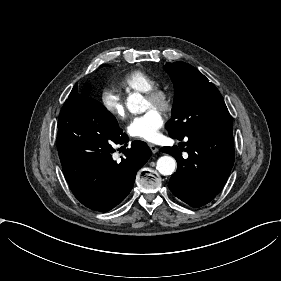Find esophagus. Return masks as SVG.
Here are the masks:
<instances>
[{
  "label": "esophagus",
  "instance_id": "obj_1",
  "mask_svg": "<svg viewBox=\"0 0 281 281\" xmlns=\"http://www.w3.org/2000/svg\"><path fill=\"white\" fill-rule=\"evenodd\" d=\"M149 148L151 149V151L153 153H157L159 151V149L157 148V146H155L154 144L148 143Z\"/></svg>",
  "mask_w": 281,
  "mask_h": 281
}]
</instances>
